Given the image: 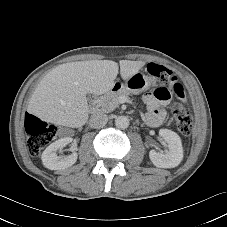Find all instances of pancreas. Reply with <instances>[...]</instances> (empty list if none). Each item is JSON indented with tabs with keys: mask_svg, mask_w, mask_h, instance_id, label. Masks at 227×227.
I'll return each mask as SVG.
<instances>
[{
	"mask_svg": "<svg viewBox=\"0 0 227 227\" xmlns=\"http://www.w3.org/2000/svg\"><path fill=\"white\" fill-rule=\"evenodd\" d=\"M129 95L130 92L125 89L116 92H109L100 98L98 102V110L105 113L111 112L119 106V99L121 97H128Z\"/></svg>",
	"mask_w": 227,
	"mask_h": 227,
	"instance_id": "cf45deb5",
	"label": "pancreas"
}]
</instances>
